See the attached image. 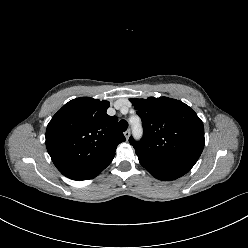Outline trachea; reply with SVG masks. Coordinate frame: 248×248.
Segmentation results:
<instances>
[{
	"label": "trachea",
	"mask_w": 248,
	"mask_h": 248,
	"mask_svg": "<svg viewBox=\"0 0 248 248\" xmlns=\"http://www.w3.org/2000/svg\"><path fill=\"white\" fill-rule=\"evenodd\" d=\"M118 126H119V129L124 132L128 128V122L126 120H120Z\"/></svg>",
	"instance_id": "1"
}]
</instances>
